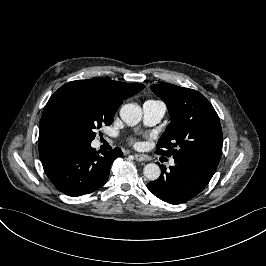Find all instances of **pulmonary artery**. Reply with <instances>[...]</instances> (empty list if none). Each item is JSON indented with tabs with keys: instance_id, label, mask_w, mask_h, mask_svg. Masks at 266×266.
<instances>
[{
	"instance_id": "1",
	"label": "pulmonary artery",
	"mask_w": 266,
	"mask_h": 266,
	"mask_svg": "<svg viewBox=\"0 0 266 266\" xmlns=\"http://www.w3.org/2000/svg\"><path fill=\"white\" fill-rule=\"evenodd\" d=\"M144 123L153 126L161 121L166 113L167 107L162 100L148 99L143 103ZM170 165H174V160L170 161Z\"/></svg>"
}]
</instances>
